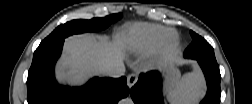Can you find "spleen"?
Returning <instances> with one entry per match:
<instances>
[{
  "label": "spleen",
  "mask_w": 252,
  "mask_h": 104,
  "mask_svg": "<svg viewBox=\"0 0 252 104\" xmlns=\"http://www.w3.org/2000/svg\"><path fill=\"white\" fill-rule=\"evenodd\" d=\"M203 92V82L199 74L191 72L186 75V78L172 92L171 96L175 102L192 103L197 101Z\"/></svg>",
  "instance_id": "1"
}]
</instances>
